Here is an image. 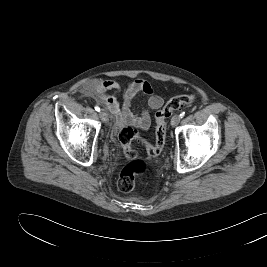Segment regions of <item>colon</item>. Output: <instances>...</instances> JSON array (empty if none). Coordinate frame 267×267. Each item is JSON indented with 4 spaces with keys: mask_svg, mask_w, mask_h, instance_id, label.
<instances>
[{
    "mask_svg": "<svg viewBox=\"0 0 267 267\" xmlns=\"http://www.w3.org/2000/svg\"><path fill=\"white\" fill-rule=\"evenodd\" d=\"M195 101V96L185 94L173 97L169 102L156 113L155 142L149 143L140 137L139 131L132 127H124L118 136L124 156L127 160L120 170L117 186L121 192H131L138 181L144 179L148 174V165L139 157L138 152L132 146L133 141L141 140L150 156H158L165 144L167 121L174 111L190 105Z\"/></svg>",
    "mask_w": 267,
    "mask_h": 267,
    "instance_id": "obj_1",
    "label": "colon"
}]
</instances>
